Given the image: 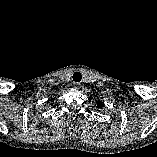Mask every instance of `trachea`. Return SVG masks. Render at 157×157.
Returning a JSON list of instances; mask_svg holds the SVG:
<instances>
[{"label": "trachea", "instance_id": "obj_1", "mask_svg": "<svg viewBox=\"0 0 157 157\" xmlns=\"http://www.w3.org/2000/svg\"><path fill=\"white\" fill-rule=\"evenodd\" d=\"M82 79V75L80 72H75L73 74V80L79 82Z\"/></svg>", "mask_w": 157, "mask_h": 157}]
</instances>
